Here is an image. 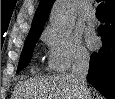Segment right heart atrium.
Segmentation results:
<instances>
[{
  "instance_id": "right-heart-atrium-1",
  "label": "right heart atrium",
  "mask_w": 115,
  "mask_h": 99,
  "mask_svg": "<svg viewBox=\"0 0 115 99\" xmlns=\"http://www.w3.org/2000/svg\"><path fill=\"white\" fill-rule=\"evenodd\" d=\"M41 38L47 46L48 66L52 71L63 72L88 60L89 54L76 34H61L46 27Z\"/></svg>"
}]
</instances>
